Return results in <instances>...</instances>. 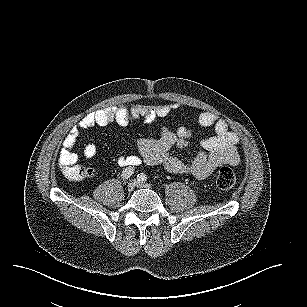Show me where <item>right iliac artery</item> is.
Instances as JSON below:
<instances>
[{"label": "right iliac artery", "instance_id": "82829eb1", "mask_svg": "<svg viewBox=\"0 0 307 307\" xmlns=\"http://www.w3.org/2000/svg\"><path fill=\"white\" fill-rule=\"evenodd\" d=\"M133 173H134V169L131 167L124 169L121 174L122 181H125L126 179H128Z\"/></svg>", "mask_w": 307, "mask_h": 307}]
</instances>
